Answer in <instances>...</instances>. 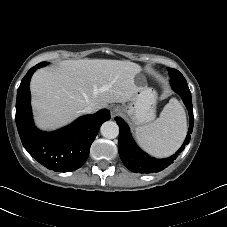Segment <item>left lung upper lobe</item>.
I'll list each match as a JSON object with an SVG mask.
<instances>
[{
	"label": "left lung upper lobe",
	"instance_id": "1",
	"mask_svg": "<svg viewBox=\"0 0 227 227\" xmlns=\"http://www.w3.org/2000/svg\"><path fill=\"white\" fill-rule=\"evenodd\" d=\"M168 71L171 78H176V79L184 78L183 75L176 69L168 68Z\"/></svg>",
	"mask_w": 227,
	"mask_h": 227
}]
</instances>
